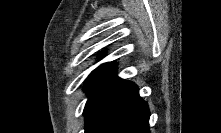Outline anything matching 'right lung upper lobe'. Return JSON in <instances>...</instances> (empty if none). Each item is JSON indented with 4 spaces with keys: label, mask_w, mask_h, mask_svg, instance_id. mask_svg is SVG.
I'll return each instance as SVG.
<instances>
[{
    "label": "right lung upper lobe",
    "mask_w": 221,
    "mask_h": 133,
    "mask_svg": "<svg viewBox=\"0 0 221 133\" xmlns=\"http://www.w3.org/2000/svg\"><path fill=\"white\" fill-rule=\"evenodd\" d=\"M116 66V64L114 62H109V63H105V64H102L100 65L98 68H96L95 70H93L91 72L90 75H98V76H101L103 75L104 73L114 69V67Z\"/></svg>",
    "instance_id": "right-lung-upper-lobe-1"
}]
</instances>
